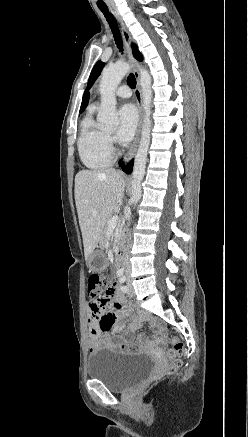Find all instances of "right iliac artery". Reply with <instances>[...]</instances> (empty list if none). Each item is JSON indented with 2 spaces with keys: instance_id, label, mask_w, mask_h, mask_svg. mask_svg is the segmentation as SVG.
Here are the masks:
<instances>
[{
  "instance_id": "obj_1",
  "label": "right iliac artery",
  "mask_w": 248,
  "mask_h": 437,
  "mask_svg": "<svg viewBox=\"0 0 248 437\" xmlns=\"http://www.w3.org/2000/svg\"><path fill=\"white\" fill-rule=\"evenodd\" d=\"M123 272H124V269H120V270L117 272V275H118V276H121V275H123Z\"/></svg>"
}]
</instances>
